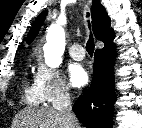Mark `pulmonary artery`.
I'll return each mask as SVG.
<instances>
[{
	"label": "pulmonary artery",
	"instance_id": "pulmonary-artery-1",
	"mask_svg": "<svg viewBox=\"0 0 142 128\" xmlns=\"http://www.w3.org/2000/svg\"><path fill=\"white\" fill-rule=\"evenodd\" d=\"M69 54L75 60H82L85 56V51L80 44H73L69 47Z\"/></svg>",
	"mask_w": 142,
	"mask_h": 128
}]
</instances>
